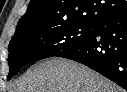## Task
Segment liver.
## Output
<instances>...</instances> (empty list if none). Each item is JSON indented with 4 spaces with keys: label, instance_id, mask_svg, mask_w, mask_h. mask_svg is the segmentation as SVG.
Instances as JSON below:
<instances>
[{
    "label": "liver",
    "instance_id": "liver-1",
    "mask_svg": "<svg viewBox=\"0 0 127 92\" xmlns=\"http://www.w3.org/2000/svg\"><path fill=\"white\" fill-rule=\"evenodd\" d=\"M12 92H123L92 69L63 58L33 65Z\"/></svg>",
    "mask_w": 127,
    "mask_h": 92
}]
</instances>
